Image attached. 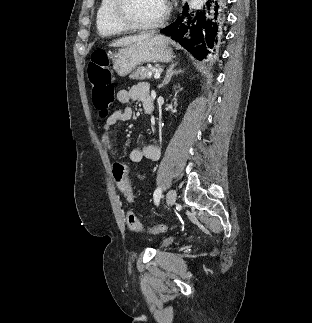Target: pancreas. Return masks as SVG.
I'll return each instance as SVG.
<instances>
[{
    "instance_id": "cf45deb5",
    "label": "pancreas",
    "mask_w": 312,
    "mask_h": 323,
    "mask_svg": "<svg viewBox=\"0 0 312 323\" xmlns=\"http://www.w3.org/2000/svg\"><path fill=\"white\" fill-rule=\"evenodd\" d=\"M150 74H154L152 68H137L135 72L130 74L129 78H131V80H146V78H152Z\"/></svg>"
}]
</instances>
